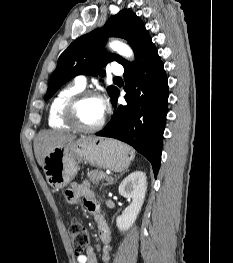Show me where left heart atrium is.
Here are the masks:
<instances>
[{
	"label": "left heart atrium",
	"mask_w": 233,
	"mask_h": 263,
	"mask_svg": "<svg viewBox=\"0 0 233 263\" xmlns=\"http://www.w3.org/2000/svg\"><path fill=\"white\" fill-rule=\"evenodd\" d=\"M101 102H102V112L104 114L105 109H106V101L104 99H102Z\"/></svg>",
	"instance_id": "1"
}]
</instances>
